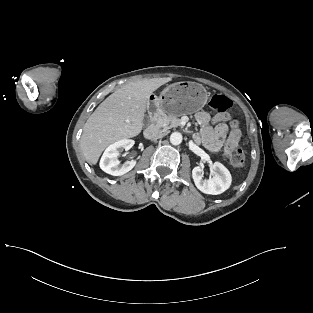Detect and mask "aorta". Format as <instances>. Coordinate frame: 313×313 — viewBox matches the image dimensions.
I'll return each mask as SVG.
<instances>
[{"label": "aorta", "mask_w": 313, "mask_h": 313, "mask_svg": "<svg viewBox=\"0 0 313 313\" xmlns=\"http://www.w3.org/2000/svg\"><path fill=\"white\" fill-rule=\"evenodd\" d=\"M170 142L173 145H179L182 142V134L180 132H173L170 135Z\"/></svg>", "instance_id": "aorta-1"}]
</instances>
